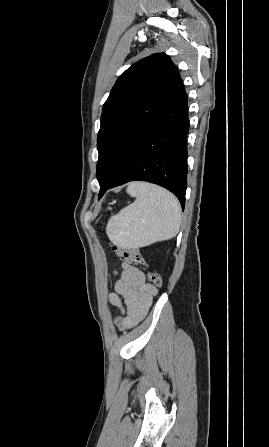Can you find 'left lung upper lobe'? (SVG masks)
Instances as JSON below:
<instances>
[{
  "mask_svg": "<svg viewBox=\"0 0 269 447\" xmlns=\"http://www.w3.org/2000/svg\"><path fill=\"white\" fill-rule=\"evenodd\" d=\"M179 80L164 53L134 63L118 78L103 106L97 138L100 187L119 175L145 133L165 114Z\"/></svg>",
  "mask_w": 269,
  "mask_h": 447,
  "instance_id": "obj_1",
  "label": "left lung upper lobe"
}]
</instances>
